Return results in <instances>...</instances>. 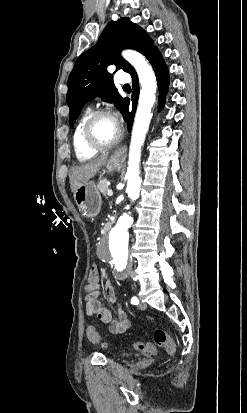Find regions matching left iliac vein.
Segmentation results:
<instances>
[{
	"mask_svg": "<svg viewBox=\"0 0 247 413\" xmlns=\"http://www.w3.org/2000/svg\"><path fill=\"white\" fill-rule=\"evenodd\" d=\"M138 308L143 310V309L146 308V305L140 300V302L138 304Z\"/></svg>",
	"mask_w": 247,
	"mask_h": 413,
	"instance_id": "left-iliac-vein-1",
	"label": "left iliac vein"
}]
</instances>
